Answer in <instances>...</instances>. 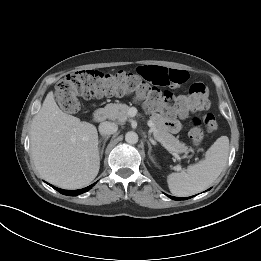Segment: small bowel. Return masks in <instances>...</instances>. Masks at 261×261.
Returning a JSON list of instances; mask_svg holds the SVG:
<instances>
[{
    "label": "small bowel",
    "mask_w": 261,
    "mask_h": 261,
    "mask_svg": "<svg viewBox=\"0 0 261 261\" xmlns=\"http://www.w3.org/2000/svg\"><path fill=\"white\" fill-rule=\"evenodd\" d=\"M139 73L154 85L178 86L188 80V73L184 70L168 69L161 66L148 65L139 68ZM153 121L171 133L181 130V123L176 119L166 118L161 114H153Z\"/></svg>",
    "instance_id": "c3829d8e"
}]
</instances>
